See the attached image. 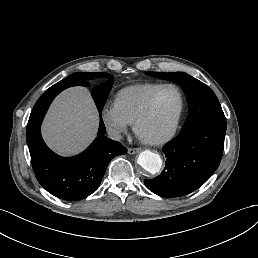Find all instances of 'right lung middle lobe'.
Returning a JSON list of instances; mask_svg holds the SVG:
<instances>
[{
    "instance_id": "right-lung-middle-lobe-1",
    "label": "right lung middle lobe",
    "mask_w": 258,
    "mask_h": 258,
    "mask_svg": "<svg viewBox=\"0 0 258 258\" xmlns=\"http://www.w3.org/2000/svg\"><path fill=\"white\" fill-rule=\"evenodd\" d=\"M71 75L80 77V78L86 79V80H92V79L99 78V77H107L108 78V80L106 82H104L96 87L94 95H93V99L96 103L98 111L101 114L104 103L109 95V92H110V90L112 88V84H113V79L110 76V74L105 73V72H97V73L79 72V73H74Z\"/></svg>"
}]
</instances>
